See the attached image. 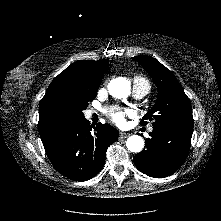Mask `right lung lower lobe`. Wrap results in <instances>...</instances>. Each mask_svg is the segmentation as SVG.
Listing matches in <instances>:
<instances>
[{
	"label": "right lung lower lobe",
	"mask_w": 221,
	"mask_h": 221,
	"mask_svg": "<svg viewBox=\"0 0 221 221\" xmlns=\"http://www.w3.org/2000/svg\"><path fill=\"white\" fill-rule=\"evenodd\" d=\"M118 135L112 126L98 123L93 127L83 117L41 139L48 158L59 173L75 181H85L103 168L107 148Z\"/></svg>",
	"instance_id": "1"
}]
</instances>
